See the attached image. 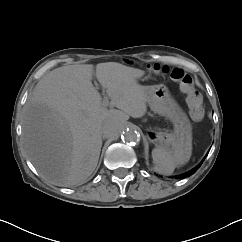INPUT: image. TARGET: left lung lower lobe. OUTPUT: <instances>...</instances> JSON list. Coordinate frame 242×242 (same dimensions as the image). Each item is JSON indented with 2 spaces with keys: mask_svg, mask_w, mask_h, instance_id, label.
Segmentation results:
<instances>
[{
  "mask_svg": "<svg viewBox=\"0 0 242 242\" xmlns=\"http://www.w3.org/2000/svg\"><path fill=\"white\" fill-rule=\"evenodd\" d=\"M203 162V161H202ZM202 162L192 171V172H190V173H188V174H185V175H183V176H181V177H179V178H185V177H188V176H190V175H192L193 173H195L196 172V170L201 166V164H202Z\"/></svg>",
  "mask_w": 242,
  "mask_h": 242,
  "instance_id": "0a47b994",
  "label": "left lung lower lobe"
}]
</instances>
